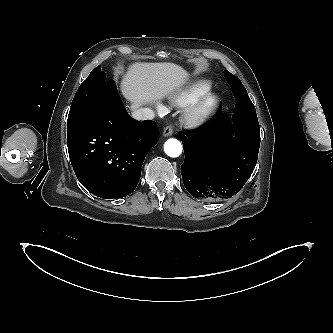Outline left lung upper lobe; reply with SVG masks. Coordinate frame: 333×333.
I'll return each instance as SVG.
<instances>
[{
	"label": "left lung upper lobe",
	"mask_w": 333,
	"mask_h": 333,
	"mask_svg": "<svg viewBox=\"0 0 333 333\" xmlns=\"http://www.w3.org/2000/svg\"><path fill=\"white\" fill-rule=\"evenodd\" d=\"M225 77L227 79V81L229 82V84L232 87L233 93L235 98L238 99H245L250 105H252L247 91L245 89V87L243 86V84L241 83V81L235 77L234 75H232L230 72H228L227 70L224 71Z\"/></svg>",
	"instance_id": "left-lung-upper-lobe-1"
}]
</instances>
